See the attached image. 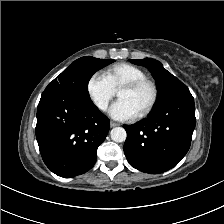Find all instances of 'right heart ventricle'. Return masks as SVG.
Segmentation results:
<instances>
[{"mask_svg":"<svg viewBox=\"0 0 224 224\" xmlns=\"http://www.w3.org/2000/svg\"><path fill=\"white\" fill-rule=\"evenodd\" d=\"M104 76L114 91L130 81L146 78L145 72L129 63H118L109 67Z\"/></svg>","mask_w":224,"mask_h":224,"instance_id":"e07e8e85","label":"right heart ventricle"}]
</instances>
